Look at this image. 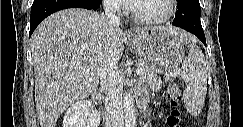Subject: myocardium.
<instances>
[{"instance_id": "obj_1", "label": "myocardium", "mask_w": 243, "mask_h": 127, "mask_svg": "<svg viewBox=\"0 0 243 127\" xmlns=\"http://www.w3.org/2000/svg\"><path fill=\"white\" fill-rule=\"evenodd\" d=\"M165 1L167 3V11L164 15L158 17H143L139 15L135 10L134 2L129 3L128 10L132 18L137 22L144 23V24H160L172 18L176 11L175 0H165Z\"/></svg>"}]
</instances>
